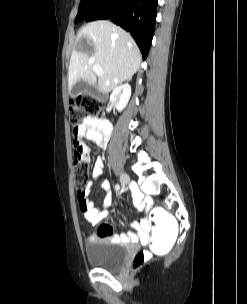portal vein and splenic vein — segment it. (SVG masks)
Masks as SVG:
<instances>
[{"instance_id": "1", "label": "portal vein and splenic vein", "mask_w": 247, "mask_h": 304, "mask_svg": "<svg viewBox=\"0 0 247 304\" xmlns=\"http://www.w3.org/2000/svg\"><path fill=\"white\" fill-rule=\"evenodd\" d=\"M93 71L96 73L97 76H102L104 74L100 65H93Z\"/></svg>"}]
</instances>
